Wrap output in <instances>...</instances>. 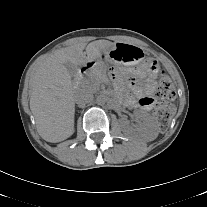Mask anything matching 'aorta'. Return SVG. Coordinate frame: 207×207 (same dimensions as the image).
<instances>
[{
  "mask_svg": "<svg viewBox=\"0 0 207 207\" xmlns=\"http://www.w3.org/2000/svg\"><path fill=\"white\" fill-rule=\"evenodd\" d=\"M107 99V96L101 93L96 97V103L98 105H104L107 102Z\"/></svg>",
  "mask_w": 207,
  "mask_h": 207,
  "instance_id": "obj_1",
  "label": "aorta"
}]
</instances>
